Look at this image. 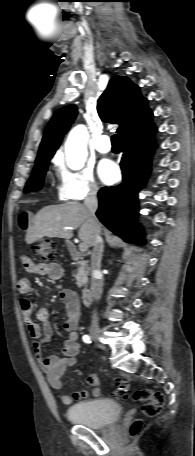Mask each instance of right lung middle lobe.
<instances>
[{"label": "right lung middle lobe", "mask_w": 195, "mask_h": 456, "mask_svg": "<svg viewBox=\"0 0 195 456\" xmlns=\"http://www.w3.org/2000/svg\"><path fill=\"white\" fill-rule=\"evenodd\" d=\"M50 159L51 158H45L36 163L32 176L30 177V179L28 180V182L26 184L25 193H28L31 191H38L42 188L44 176L47 171V167H48Z\"/></svg>", "instance_id": "right-lung-middle-lobe-1"}]
</instances>
